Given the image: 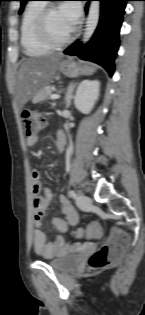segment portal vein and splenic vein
Wrapping results in <instances>:
<instances>
[{"label": "portal vein and splenic vein", "mask_w": 145, "mask_h": 315, "mask_svg": "<svg viewBox=\"0 0 145 315\" xmlns=\"http://www.w3.org/2000/svg\"><path fill=\"white\" fill-rule=\"evenodd\" d=\"M58 98H60V95H58V94H51L50 95V99H52V100L58 99Z\"/></svg>", "instance_id": "portal-vein-and-splenic-vein-1"}]
</instances>
